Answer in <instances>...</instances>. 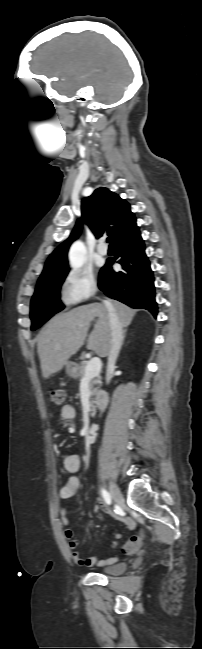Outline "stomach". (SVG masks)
<instances>
[{
    "instance_id": "obj_1",
    "label": "stomach",
    "mask_w": 202,
    "mask_h": 649,
    "mask_svg": "<svg viewBox=\"0 0 202 649\" xmlns=\"http://www.w3.org/2000/svg\"><path fill=\"white\" fill-rule=\"evenodd\" d=\"M66 371L71 377L77 376V366L73 362L66 363Z\"/></svg>"
}]
</instances>
